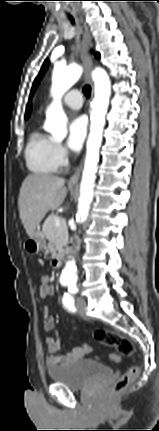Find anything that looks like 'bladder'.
Wrapping results in <instances>:
<instances>
[{
  "label": "bladder",
  "mask_w": 159,
  "mask_h": 431,
  "mask_svg": "<svg viewBox=\"0 0 159 431\" xmlns=\"http://www.w3.org/2000/svg\"><path fill=\"white\" fill-rule=\"evenodd\" d=\"M112 370L91 359H79L61 366H48L47 375L53 383L70 389H81L110 377Z\"/></svg>",
  "instance_id": "1"
}]
</instances>
